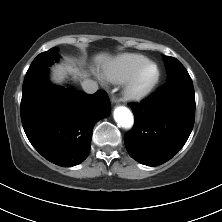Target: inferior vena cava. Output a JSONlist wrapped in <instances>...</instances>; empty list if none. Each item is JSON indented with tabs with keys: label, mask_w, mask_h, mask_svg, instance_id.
I'll list each match as a JSON object with an SVG mask.
<instances>
[{
	"label": "inferior vena cava",
	"mask_w": 222,
	"mask_h": 222,
	"mask_svg": "<svg viewBox=\"0 0 222 222\" xmlns=\"http://www.w3.org/2000/svg\"><path fill=\"white\" fill-rule=\"evenodd\" d=\"M81 85H82L83 90L88 94H93L97 92L98 90V84L95 81L90 80V79L84 80L81 83Z\"/></svg>",
	"instance_id": "1"
}]
</instances>
